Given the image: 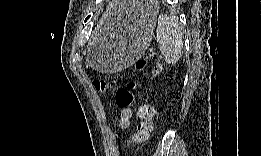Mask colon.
Masks as SVG:
<instances>
[{"instance_id": "5ec220e1", "label": "colon", "mask_w": 261, "mask_h": 156, "mask_svg": "<svg viewBox=\"0 0 261 156\" xmlns=\"http://www.w3.org/2000/svg\"><path fill=\"white\" fill-rule=\"evenodd\" d=\"M148 66V63L144 60L137 64L138 70H143ZM161 71V65L159 62H153L149 65V76L151 79H155ZM95 89L98 92H106L113 89L114 85L105 80H95L93 82ZM140 87V83L136 81H129L125 86L116 90L115 101L120 108H129L135 102L134 90ZM137 115L140 119L137 131L130 137L123 141L126 145L136 144L140 145L145 143L152 133V118L153 109L150 105L142 104L137 107Z\"/></svg>"}]
</instances>
